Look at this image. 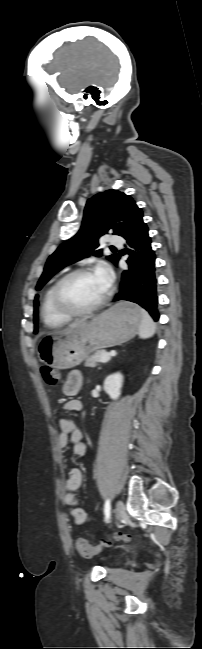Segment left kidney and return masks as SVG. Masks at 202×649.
<instances>
[{
    "instance_id": "left-kidney-1",
    "label": "left kidney",
    "mask_w": 202,
    "mask_h": 649,
    "mask_svg": "<svg viewBox=\"0 0 202 649\" xmlns=\"http://www.w3.org/2000/svg\"><path fill=\"white\" fill-rule=\"evenodd\" d=\"M122 386L123 376L120 373L108 376L103 383L105 392L114 400L121 395Z\"/></svg>"
}]
</instances>
